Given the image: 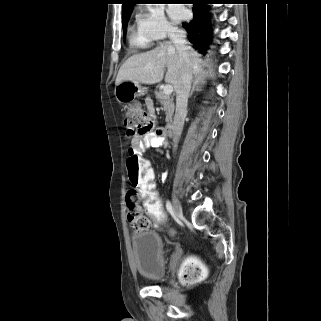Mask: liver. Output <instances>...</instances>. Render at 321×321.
<instances>
[{"mask_svg":"<svg viewBox=\"0 0 321 321\" xmlns=\"http://www.w3.org/2000/svg\"><path fill=\"white\" fill-rule=\"evenodd\" d=\"M188 52L192 74L197 80L204 82L206 72L202 69L199 54L190 46H188ZM165 67H167L165 81L176 90L181 64L175 45L168 41L150 51L128 58L118 72L116 85L122 81L148 85L159 83L164 77ZM210 76L213 74L210 73Z\"/></svg>","mask_w":321,"mask_h":321,"instance_id":"liver-1","label":"liver"}]
</instances>
